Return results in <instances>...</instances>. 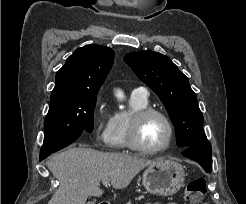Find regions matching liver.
Masks as SVG:
<instances>
[{
  "label": "liver",
  "instance_id": "obj_1",
  "mask_svg": "<svg viewBox=\"0 0 246 204\" xmlns=\"http://www.w3.org/2000/svg\"><path fill=\"white\" fill-rule=\"evenodd\" d=\"M154 163L127 153L70 148L53 155L47 163L60 182L48 204H85L89 196L103 194L99 188L103 179H109L114 189H123L141 170Z\"/></svg>",
  "mask_w": 246,
  "mask_h": 204
}]
</instances>
